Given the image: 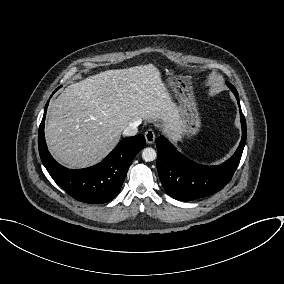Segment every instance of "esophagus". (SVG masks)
<instances>
[{"instance_id": "1", "label": "esophagus", "mask_w": 284, "mask_h": 284, "mask_svg": "<svg viewBox=\"0 0 284 284\" xmlns=\"http://www.w3.org/2000/svg\"><path fill=\"white\" fill-rule=\"evenodd\" d=\"M144 136L148 144H152L155 141V133L152 129H148Z\"/></svg>"}]
</instances>
